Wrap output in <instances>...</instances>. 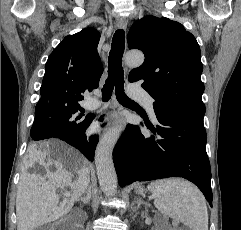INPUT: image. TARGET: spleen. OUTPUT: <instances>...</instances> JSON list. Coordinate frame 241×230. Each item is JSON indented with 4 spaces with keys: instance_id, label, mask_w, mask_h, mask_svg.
<instances>
[{
    "instance_id": "1",
    "label": "spleen",
    "mask_w": 241,
    "mask_h": 230,
    "mask_svg": "<svg viewBox=\"0 0 241 230\" xmlns=\"http://www.w3.org/2000/svg\"><path fill=\"white\" fill-rule=\"evenodd\" d=\"M154 205L164 216L181 221L191 230H208V212L202 193L182 179H165L150 183Z\"/></svg>"
}]
</instances>
